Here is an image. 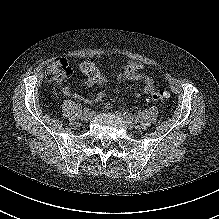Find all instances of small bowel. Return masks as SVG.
<instances>
[{"instance_id":"1","label":"small bowel","mask_w":219,"mask_h":219,"mask_svg":"<svg viewBox=\"0 0 219 219\" xmlns=\"http://www.w3.org/2000/svg\"><path fill=\"white\" fill-rule=\"evenodd\" d=\"M129 64H135L139 68V65L136 62H130L127 65H129ZM80 69H81L82 74L85 76L84 83L87 86H94L97 84H101L105 81V78L103 77L101 72L98 70V68L95 66V64L91 61L83 62L80 66ZM120 78L135 79V80L142 81L144 83V93H146V94L151 93L154 89L153 79L149 75L144 74V73H139L138 71L136 73H134L133 75H131L130 77H126L123 74L120 76ZM62 93L66 96L73 97L75 99L89 102V103L100 102L105 97V94L103 92H99L93 98L88 99V98H85L79 94L73 93L69 86H64L62 88ZM135 96L137 98L140 97L139 94H136Z\"/></svg>"}]
</instances>
